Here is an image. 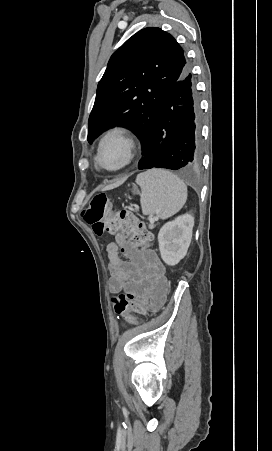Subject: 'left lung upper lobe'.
<instances>
[{
    "mask_svg": "<svg viewBox=\"0 0 272 451\" xmlns=\"http://www.w3.org/2000/svg\"><path fill=\"white\" fill-rule=\"evenodd\" d=\"M185 69L182 48L160 28H145L129 38L113 53L98 83L88 142L106 128L124 125L144 142V154L162 105Z\"/></svg>",
    "mask_w": 272,
    "mask_h": 451,
    "instance_id": "1",
    "label": "left lung upper lobe"
}]
</instances>
